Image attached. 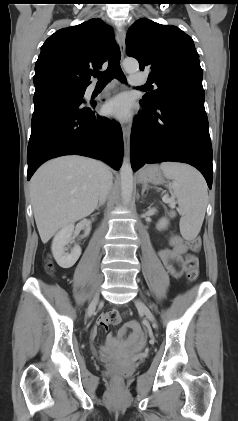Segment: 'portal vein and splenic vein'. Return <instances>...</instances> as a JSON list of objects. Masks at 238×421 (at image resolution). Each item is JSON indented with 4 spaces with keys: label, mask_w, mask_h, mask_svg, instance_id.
I'll use <instances>...</instances> for the list:
<instances>
[{
    "label": "portal vein and splenic vein",
    "mask_w": 238,
    "mask_h": 421,
    "mask_svg": "<svg viewBox=\"0 0 238 421\" xmlns=\"http://www.w3.org/2000/svg\"><path fill=\"white\" fill-rule=\"evenodd\" d=\"M165 197H166V198H168V196H167V195H165ZM173 198H174V197H173ZM173 198H172V199H173Z\"/></svg>",
    "instance_id": "obj_1"
}]
</instances>
